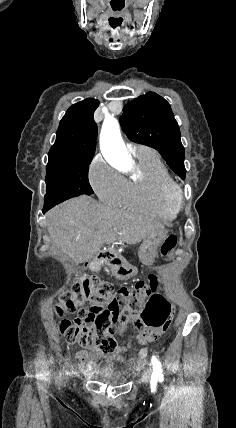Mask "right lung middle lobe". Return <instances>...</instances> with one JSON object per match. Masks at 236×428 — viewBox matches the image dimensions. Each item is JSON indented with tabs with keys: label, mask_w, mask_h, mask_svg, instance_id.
Wrapping results in <instances>:
<instances>
[{
	"label": "right lung middle lobe",
	"mask_w": 236,
	"mask_h": 428,
	"mask_svg": "<svg viewBox=\"0 0 236 428\" xmlns=\"http://www.w3.org/2000/svg\"><path fill=\"white\" fill-rule=\"evenodd\" d=\"M89 159H49L46 175L44 206L56 205L82 194L91 195L93 190L88 181Z\"/></svg>",
	"instance_id": "right-lung-middle-lobe-1"
}]
</instances>
